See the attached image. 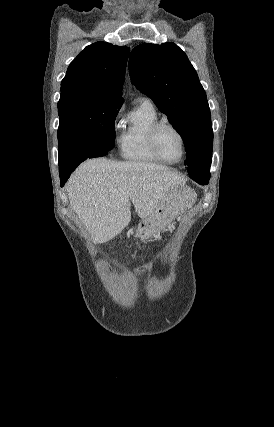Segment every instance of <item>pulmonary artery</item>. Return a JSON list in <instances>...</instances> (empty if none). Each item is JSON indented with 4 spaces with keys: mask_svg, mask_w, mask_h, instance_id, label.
<instances>
[{
    "mask_svg": "<svg viewBox=\"0 0 274 427\" xmlns=\"http://www.w3.org/2000/svg\"><path fill=\"white\" fill-rule=\"evenodd\" d=\"M141 104H142V105L153 106V104H152L151 100H149V99H147V98H143V99L141 100Z\"/></svg>",
    "mask_w": 274,
    "mask_h": 427,
    "instance_id": "obj_1",
    "label": "pulmonary artery"
}]
</instances>
